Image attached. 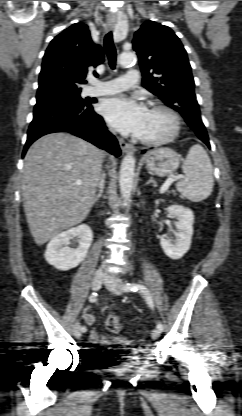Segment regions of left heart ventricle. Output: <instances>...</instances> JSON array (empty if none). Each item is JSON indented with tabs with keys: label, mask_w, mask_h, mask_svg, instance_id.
Returning <instances> with one entry per match:
<instances>
[{
	"label": "left heart ventricle",
	"mask_w": 242,
	"mask_h": 416,
	"mask_svg": "<svg viewBox=\"0 0 242 416\" xmlns=\"http://www.w3.org/2000/svg\"><path fill=\"white\" fill-rule=\"evenodd\" d=\"M171 127V118L161 110L148 109L138 137L157 139L165 136Z\"/></svg>",
	"instance_id": "obj_1"
}]
</instances>
